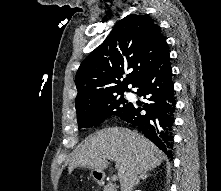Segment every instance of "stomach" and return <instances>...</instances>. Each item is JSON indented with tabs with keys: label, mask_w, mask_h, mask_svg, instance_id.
I'll use <instances>...</instances> for the list:
<instances>
[{
	"label": "stomach",
	"mask_w": 221,
	"mask_h": 191,
	"mask_svg": "<svg viewBox=\"0 0 221 191\" xmlns=\"http://www.w3.org/2000/svg\"><path fill=\"white\" fill-rule=\"evenodd\" d=\"M100 173H101V172H98V171H95V170H94V171H92L91 175L93 176L94 179H97L98 176L101 175Z\"/></svg>",
	"instance_id": "1"
}]
</instances>
